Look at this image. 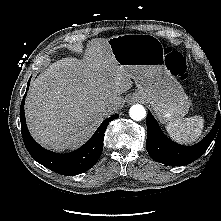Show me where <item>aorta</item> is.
<instances>
[{
	"mask_svg": "<svg viewBox=\"0 0 221 221\" xmlns=\"http://www.w3.org/2000/svg\"><path fill=\"white\" fill-rule=\"evenodd\" d=\"M130 117L135 121H140L145 118L146 116V110L145 108L140 104H135L131 106L129 110Z\"/></svg>",
	"mask_w": 221,
	"mask_h": 221,
	"instance_id": "1",
	"label": "aorta"
}]
</instances>
